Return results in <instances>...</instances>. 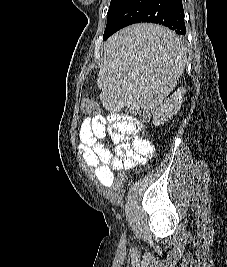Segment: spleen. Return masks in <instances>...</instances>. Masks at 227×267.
Here are the masks:
<instances>
[{"label":"spleen","instance_id":"3e777b00","mask_svg":"<svg viewBox=\"0 0 227 267\" xmlns=\"http://www.w3.org/2000/svg\"><path fill=\"white\" fill-rule=\"evenodd\" d=\"M103 55L108 59L103 67L100 87L104 93L99 105L123 106L137 99L160 102L176 86L185 67V47L182 40L159 22H133L126 29L114 33L104 42ZM103 111H114V106H103ZM116 115H127V110H116Z\"/></svg>","mask_w":227,"mask_h":267}]
</instances>
